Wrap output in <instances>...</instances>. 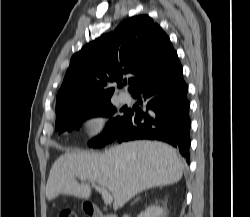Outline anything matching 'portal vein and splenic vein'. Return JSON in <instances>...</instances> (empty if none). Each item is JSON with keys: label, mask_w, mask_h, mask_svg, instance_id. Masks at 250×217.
Segmentation results:
<instances>
[{"label": "portal vein and splenic vein", "mask_w": 250, "mask_h": 217, "mask_svg": "<svg viewBox=\"0 0 250 217\" xmlns=\"http://www.w3.org/2000/svg\"><path fill=\"white\" fill-rule=\"evenodd\" d=\"M81 180H86L84 177H80ZM92 186L99 192L101 193L103 199H104V203L106 205H109L112 203L113 201V197L112 195L108 192V190L106 189V187L104 186H99L95 183H92Z\"/></svg>", "instance_id": "portal-vein-and-splenic-vein-1"}]
</instances>
